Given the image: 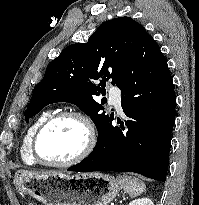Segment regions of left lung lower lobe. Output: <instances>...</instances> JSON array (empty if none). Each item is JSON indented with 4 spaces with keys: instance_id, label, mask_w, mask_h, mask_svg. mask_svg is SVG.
I'll return each instance as SVG.
<instances>
[{
    "instance_id": "obj_1",
    "label": "left lung lower lobe",
    "mask_w": 199,
    "mask_h": 205,
    "mask_svg": "<svg viewBox=\"0 0 199 205\" xmlns=\"http://www.w3.org/2000/svg\"><path fill=\"white\" fill-rule=\"evenodd\" d=\"M119 88L126 120L120 127L111 120L91 154L68 171L135 172L165 181L176 98L167 61L146 31Z\"/></svg>"
}]
</instances>
